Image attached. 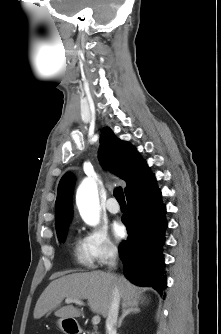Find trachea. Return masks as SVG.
<instances>
[{"label":"trachea","mask_w":221,"mask_h":334,"mask_svg":"<svg viewBox=\"0 0 221 334\" xmlns=\"http://www.w3.org/2000/svg\"><path fill=\"white\" fill-rule=\"evenodd\" d=\"M114 197L117 199L119 203H125V197L121 187H117L114 190Z\"/></svg>","instance_id":"3493384b"}]
</instances>
